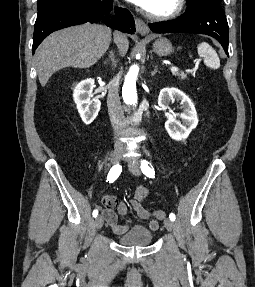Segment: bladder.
Returning a JSON list of instances; mask_svg holds the SVG:
<instances>
[{
  "instance_id": "bladder-1",
  "label": "bladder",
  "mask_w": 255,
  "mask_h": 287,
  "mask_svg": "<svg viewBox=\"0 0 255 287\" xmlns=\"http://www.w3.org/2000/svg\"><path fill=\"white\" fill-rule=\"evenodd\" d=\"M152 239L153 233L143 225H134L117 237L118 242L124 246H146Z\"/></svg>"
}]
</instances>
